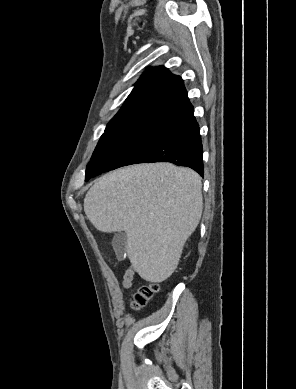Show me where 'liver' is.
Returning a JSON list of instances; mask_svg holds the SVG:
<instances>
[{
  "label": "liver",
  "instance_id": "obj_1",
  "mask_svg": "<svg viewBox=\"0 0 296 389\" xmlns=\"http://www.w3.org/2000/svg\"><path fill=\"white\" fill-rule=\"evenodd\" d=\"M200 176L171 163L118 169L99 178L87 192L84 211L105 233L125 231L128 258L139 276L152 283L169 278L203 209Z\"/></svg>",
  "mask_w": 296,
  "mask_h": 389
}]
</instances>
